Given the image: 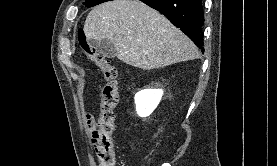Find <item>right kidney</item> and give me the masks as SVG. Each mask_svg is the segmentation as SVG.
Segmentation results:
<instances>
[{"instance_id": "1", "label": "right kidney", "mask_w": 277, "mask_h": 166, "mask_svg": "<svg viewBox=\"0 0 277 166\" xmlns=\"http://www.w3.org/2000/svg\"><path fill=\"white\" fill-rule=\"evenodd\" d=\"M163 95L162 89H147L135 95L136 111L140 117L149 116L158 106Z\"/></svg>"}]
</instances>
